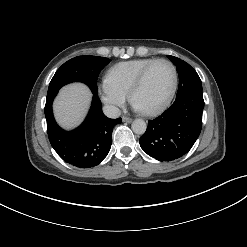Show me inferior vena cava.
Wrapping results in <instances>:
<instances>
[{"label":"inferior vena cava","mask_w":247,"mask_h":247,"mask_svg":"<svg viewBox=\"0 0 247 247\" xmlns=\"http://www.w3.org/2000/svg\"><path fill=\"white\" fill-rule=\"evenodd\" d=\"M103 112L109 118H118L121 114L120 109L113 105H105L103 107Z\"/></svg>","instance_id":"602c4592"}]
</instances>
